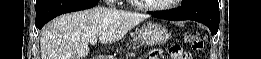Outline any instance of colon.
<instances>
[{
  "label": "colon",
  "instance_id": "obj_1",
  "mask_svg": "<svg viewBox=\"0 0 261 59\" xmlns=\"http://www.w3.org/2000/svg\"><path fill=\"white\" fill-rule=\"evenodd\" d=\"M186 41L191 44L192 48L195 51H201L204 48V41L200 37H198L196 35L188 34L186 36ZM157 55L161 58L162 57V52L160 51ZM168 56L171 59H191L192 58L191 56H188L187 54H184L182 52L181 47L180 46H176V45L175 46H171L168 49Z\"/></svg>",
  "mask_w": 261,
  "mask_h": 59
}]
</instances>
